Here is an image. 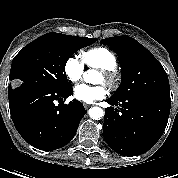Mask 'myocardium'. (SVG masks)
<instances>
[{
	"instance_id": "1",
	"label": "myocardium",
	"mask_w": 178,
	"mask_h": 178,
	"mask_svg": "<svg viewBox=\"0 0 178 178\" xmlns=\"http://www.w3.org/2000/svg\"><path fill=\"white\" fill-rule=\"evenodd\" d=\"M102 75L104 76V83L111 88L116 85V74L110 69H100Z\"/></svg>"
}]
</instances>
